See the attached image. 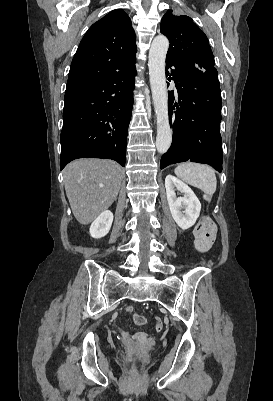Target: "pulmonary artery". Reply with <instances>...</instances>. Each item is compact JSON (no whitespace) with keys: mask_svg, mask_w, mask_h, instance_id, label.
Wrapping results in <instances>:
<instances>
[{"mask_svg":"<svg viewBox=\"0 0 273 401\" xmlns=\"http://www.w3.org/2000/svg\"><path fill=\"white\" fill-rule=\"evenodd\" d=\"M167 69H168L169 71H172V70L174 69V66H173L172 64H169V65L167 66Z\"/></svg>","mask_w":273,"mask_h":401,"instance_id":"1","label":"pulmonary artery"}]
</instances>
